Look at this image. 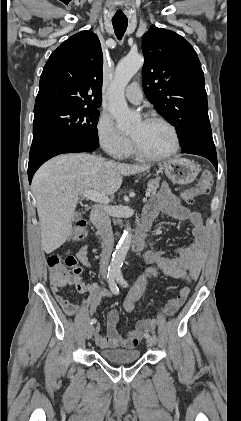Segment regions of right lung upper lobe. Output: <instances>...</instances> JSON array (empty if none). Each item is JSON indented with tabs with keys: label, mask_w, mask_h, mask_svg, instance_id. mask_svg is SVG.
<instances>
[{
	"label": "right lung upper lobe",
	"mask_w": 241,
	"mask_h": 421,
	"mask_svg": "<svg viewBox=\"0 0 241 421\" xmlns=\"http://www.w3.org/2000/svg\"><path fill=\"white\" fill-rule=\"evenodd\" d=\"M102 65L100 41L92 31L71 36L44 66L35 108L56 104L99 107Z\"/></svg>",
	"instance_id": "obj_1"
}]
</instances>
